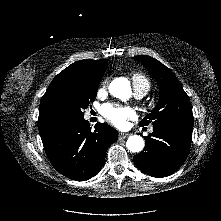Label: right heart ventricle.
I'll return each mask as SVG.
<instances>
[{
    "label": "right heart ventricle",
    "mask_w": 221,
    "mask_h": 221,
    "mask_svg": "<svg viewBox=\"0 0 221 221\" xmlns=\"http://www.w3.org/2000/svg\"><path fill=\"white\" fill-rule=\"evenodd\" d=\"M131 77L135 91L144 92L146 94L151 89V81L145 74L134 72Z\"/></svg>",
    "instance_id": "obj_1"
}]
</instances>
